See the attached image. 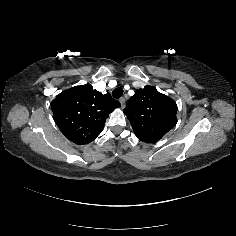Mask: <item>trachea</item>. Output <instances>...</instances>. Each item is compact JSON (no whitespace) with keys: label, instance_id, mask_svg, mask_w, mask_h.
I'll return each mask as SVG.
<instances>
[{"label":"trachea","instance_id":"trachea-1","mask_svg":"<svg viewBox=\"0 0 236 236\" xmlns=\"http://www.w3.org/2000/svg\"><path fill=\"white\" fill-rule=\"evenodd\" d=\"M123 88L122 87H117L112 91V96L115 99H119L123 95Z\"/></svg>","mask_w":236,"mask_h":236}]
</instances>
